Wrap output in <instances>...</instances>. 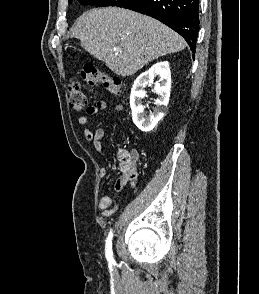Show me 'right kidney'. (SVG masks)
I'll return each instance as SVG.
<instances>
[{
	"mask_svg": "<svg viewBox=\"0 0 259 294\" xmlns=\"http://www.w3.org/2000/svg\"><path fill=\"white\" fill-rule=\"evenodd\" d=\"M155 77L159 81L155 84L154 90L158 94L155 100V108L149 116H144V105L142 99L146 96L144 88L152 84ZM171 90V72L168 61H161L154 64L148 71L142 73L134 81L130 94V106L134 124L144 132L151 131L163 118L166 106L169 102Z\"/></svg>",
	"mask_w": 259,
	"mask_h": 294,
	"instance_id": "obj_1",
	"label": "right kidney"
}]
</instances>
